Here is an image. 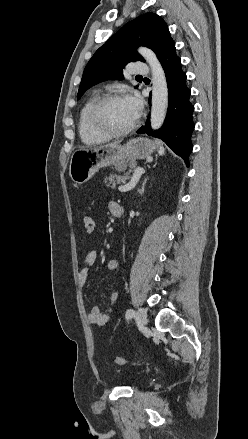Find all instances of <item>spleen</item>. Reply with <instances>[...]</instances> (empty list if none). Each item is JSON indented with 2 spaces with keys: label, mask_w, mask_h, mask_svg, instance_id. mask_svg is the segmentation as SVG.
<instances>
[{
  "label": "spleen",
  "mask_w": 248,
  "mask_h": 439,
  "mask_svg": "<svg viewBox=\"0 0 248 439\" xmlns=\"http://www.w3.org/2000/svg\"><path fill=\"white\" fill-rule=\"evenodd\" d=\"M165 149L163 147H160L159 149V154L160 155H164Z\"/></svg>",
  "instance_id": "3e777b00"
}]
</instances>
